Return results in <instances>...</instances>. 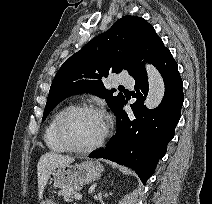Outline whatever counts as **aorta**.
<instances>
[{"mask_svg":"<svg viewBox=\"0 0 212 204\" xmlns=\"http://www.w3.org/2000/svg\"><path fill=\"white\" fill-rule=\"evenodd\" d=\"M145 68L149 83V90L145 100V106L148 109H154L160 105L164 97L165 84L161 74L152 64L146 63Z\"/></svg>","mask_w":212,"mask_h":204,"instance_id":"obj_1","label":"aorta"}]
</instances>
